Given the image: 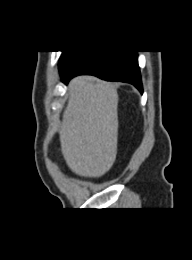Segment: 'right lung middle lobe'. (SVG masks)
<instances>
[{"mask_svg":"<svg viewBox=\"0 0 192 260\" xmlns=\"http://www.w3.org/2000/svg\"><path fill=\"white\" fill-rule=\"evenodd\" d=\"M82 52L65 51L59 63L60 73L65 70Z\"/></svg>","mask_w":192,"mask_h":260,"instance_id":"dd1d6c3e","label":"right lung middle lobe"}]
</instances>
